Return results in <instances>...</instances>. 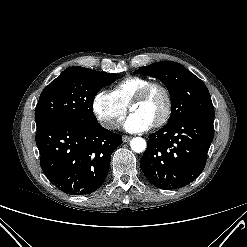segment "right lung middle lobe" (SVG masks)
Listing matches in <instances>:
<instances>
[{"mask_svg":"<svg viewBox=\"0 0 247 247\" xmlns=\"http://www.w3.org/2000/svg\"><path fill=\"white\" fill-rule=\"evenodd\" d=\"M116 79L114 73L80 66L67 68L42 91L35 110L36 126L57 120L96 121L94 98Z\"/></svg>","mask_w":247,"mask_h":247,"instance_id":"obj_1","label":"right lung middle lobe"}]
</instances>
